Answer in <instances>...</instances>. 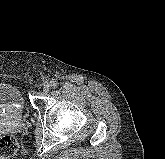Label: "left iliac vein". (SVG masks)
Here are the masks:
<instances>
[{
  "instance_id": "4c4485c4",
  "label": "left iliac vein",
  "mask_w": 165,
  "mask_h": 159,
  "mask_svg": "<svg viewBox=\"0 0 165 159\" xmlns=\"http://www.w3.org/2000/svg\"><path fill=\"white\" fill-rule=\"evenodd\" d=\"M50 88H51V84H50V83H46V84L44 85V87H43V91H44L45 93H48L49 90H50Z\"/></svg>"
}]
</instances>
